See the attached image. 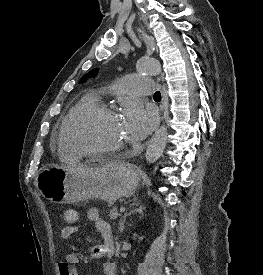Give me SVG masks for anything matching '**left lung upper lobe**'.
Returning <instances> with one entry per match:
<instances>
[{
    "instance_id": "left-lung-upper-lobe-1",
    "label": "left lung upper lobe",
    "mask_w": 263,
    "mask_h": 275,
    "mask_svg": "<svg viewBox=\"0 0 263 275\" xmlns=\"http://www.w3.org/2000/svg\"><path fill=\"white\" fill-rule=\"evenodd\" d=\"M96 74H97V69L92 70L91 72H89L88 74H86V75L82 78L81 82L86 81L88 77H94V76H96Z\"/></svg>"
}]
</instances>
